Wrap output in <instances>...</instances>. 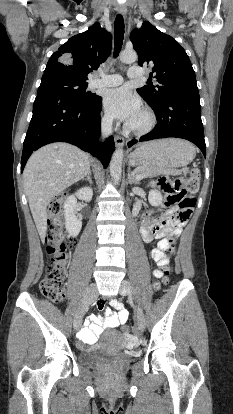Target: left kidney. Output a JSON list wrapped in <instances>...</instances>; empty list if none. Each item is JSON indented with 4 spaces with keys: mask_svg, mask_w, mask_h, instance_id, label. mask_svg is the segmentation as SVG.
Masks as SVG:
<instances>
[{
    "mask_svg": "<svg viewBox=\"0 0 233 414\" xmlns=\"http://www.w3.org/2000/svg\"><path fill=\"white\" fill-rule=\"evenodd\" d=\"M148 200L152 206H160L162 204L163 197L157 190H151L149 192Z\"/></svg>",
    "mask_w": 233,
    "mask_h": 414,
    "instance_id": "left-kidney-1",
    "label": "left kidney"
}]
</instances>
